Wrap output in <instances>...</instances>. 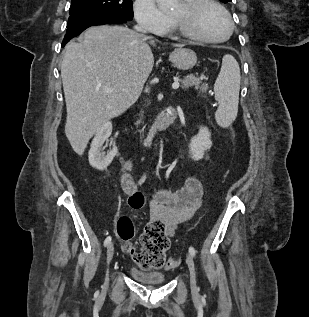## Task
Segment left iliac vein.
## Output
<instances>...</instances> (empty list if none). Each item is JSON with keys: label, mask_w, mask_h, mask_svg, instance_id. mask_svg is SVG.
<instances>
[{"label": "left iliac vein", "mask_w": 309, "mask_h": 317, "mask_svg": "<svg viewBox=\"0 0 309 317\" xmlns=\"http://www.w3.org/2000/svg\"><path fill=\"white\" fill-rule=\"evenodd\" d=\"M186 263L190 272V285L193 293L197 292L195 264L191 254L186 255Z\"/></svg>", "instance_id": "obj_1"}]
</instances>
